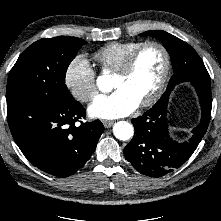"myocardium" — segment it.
Here are the masks:
<instances>
[{
    "instance_id": "obj_1",
    "label": "myocardium",
    "mask_w": 221,
    "mask_h": 221,
    "mask_svg": "<svg viewBox=\"0 0 221 221\" xmlns=\"http://www.w3.org/2000/svg\"><path fill=\"white\" fill-rule=\"evenodd\" d=\"M149 47H156L162 52L164 57V67L158 85L155 88L154 92L146 100L138 104L139 107H148L154 104L161 97L165 89L171 69V59L167 48L162 43L157 41L145 42L138 48H136L132 53H130V55L125 59L120 68L116 71V75L119 76L129 75L132 72L139 55Z\"/></svg>"
}]
</instances>
